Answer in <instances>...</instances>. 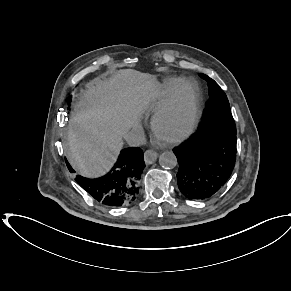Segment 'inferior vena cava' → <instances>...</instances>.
Listing matches in <instances>:
<instances>
[{
	"label": "inferior vena cava",
	"mask_w": 291,
	"mask_h": 291,
	"mask_svg": "<svg viewBox=\"0 0 291 291\" xmlns=\"http://www.w3.org/2000/svg\"><path fill=\"white\" fill-rule=\"evenodd\" d=\"M129 146H141L145 144V136L140 126L133 128L123 135Z\"/></svg>",
	"instance_id": "obj_1"
}]
</instances>
